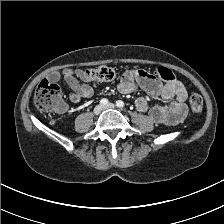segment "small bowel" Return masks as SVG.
<instances>
[{
    "label": "small bowel",
    "instance_id": "obj_1",
    "mask_svg": "<svg viewBox=\"0 0 224 224\" xmlns=\"http://www.w3.org/2000/svg\"><path fill=\"white\" fill-rule=\"evenodd\" d=\"M61 78L72 90L69 100L73 103H78L82 98H89L94 93L89 84L90 80L81 69L67 68L62 73L53 72L50 76L52 82H58ZM137 87L153 97L171 101L169 105L150 106L145 97L136 100L137 110L147 113L154 123L176 125L184 120L187 114L188 93L181 81L174 79L162 85L148 72L138 70L126 72L118 83L119 91L125 94L135 91Z\"/></svg>",
    "mask_w": 224,
    "mask_h": 224
}]
</instances>
